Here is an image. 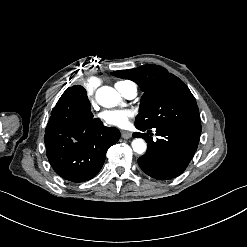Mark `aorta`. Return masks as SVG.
Returning a JSON list of instances; mask_svg holds the SVG:
<instances>
[{"label": "aorta", "mask_w": 247, "mask_h": 247, "mask_svg": "<svg viewBox=\"0 0 247 247\" xmlns=\"http://www.w3.org/2000/svg\"><path fill=\"white\" fill-rule=\"evenodd\" d=\"M97 102L106 108L117 106L121 100L119 93L112 87L103 86L96 92ZM134 152L142 154L146 151L147 145L141 138H136L131 143Z\"/></svg>", "instance_id": "1"}]
</instances>
